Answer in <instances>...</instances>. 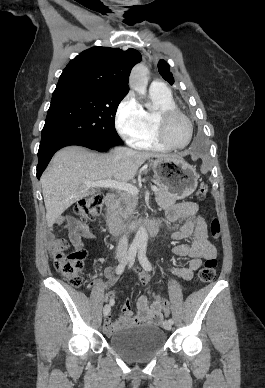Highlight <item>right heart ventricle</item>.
Masks as SVG:
<instances>
[{"label":"right heart ventricle","instance_id":"1","mask_svg":"<svg viewBox=\"0 0 265 388\" xmlns=\"http://www.w3.org/2000/svg\"><path fill=\"white\" fill-rule=\"evenodd\" d=\"M147 97L151 99L154 108L144 110L145 127L143 132L133 140V145L139 149L160 150L167 148L158 140L155 132V114L162 107H176L170 91H148Z\"/></svg>","mask_w":265,"mask_h":388}]
</instances>
